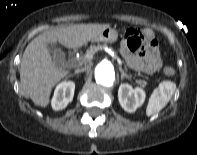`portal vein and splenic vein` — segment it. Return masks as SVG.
<instances>
[{"label":"portal vein and splenic vein","mask_w":197,"mask_h":155,"mask_svg":"<svg viewBox=\"0 0 197 155\" xmlns=\"http://www.w3.org/2000/svg\"><path fill=\"white\" fill-rule=\"evenodd\" d=\"M114 57H115V59L117 60L118 64H119V65H122L121 59H120L118 56H116V55H114Z\"/></svg>","instance_id":"obj_1"}]
</instances>
